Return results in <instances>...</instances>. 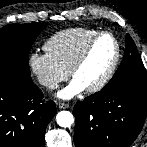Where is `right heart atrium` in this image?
<instances>
[{
  "label": "right heart atrium",
  "instance_id": "d8ad5b80",
  "mask_svg": "<svg viewBox=\"0 0 147 147\" xmlns=\"http://www.w3.org/2000/svg\"><path fill=\"white\" fill-rule=\"evenodd\" d=\"M28 66L36 81L49 91L56 89L70 75V71L62 67L47 52L31 53L28 57Z\"/></svg>",
  "mask_w": 147,
  "mask_h": 147
}]
</instances>
